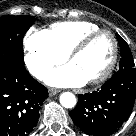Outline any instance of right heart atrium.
Segmentation results:
<instances>
[{"instance_id": "1", "label": "right heart atrium", "mask_w": 136, "mask_h": 136, "mask_svg": "<svg viewBox=\"0 0 136 136\" xmlns=\"http://www.w3.org/2000/svg\"><path fill=\"white\" fill-rule=\"evenodd\" d=\"M23 44L25 65L36 78H42L53 66L66 59V55L54 46L44 30H29Z\"/></svg>"}]
</instances>
